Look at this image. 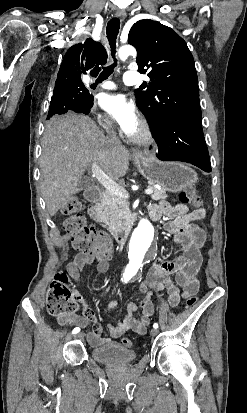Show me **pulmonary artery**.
I'll return each mask as SVG.
<instances>
[{"label":"pulmonary artery","instance_id":"e3ab8cb5","mask_svg":"<svg viewBox=\"0 0 247 413\" xmlns=\"http://www.w3.org/2000/svg\"><path fill=\"white\" fill-rule=\"evenodd\" d=\"M123 80L126 84L133 85V84H136V83L138 84L139 82H141L143 80V78L139 77L133 71V72H125L124 75H123ZM83 82H84L85 86L88 87V88H90L94 85L96 86L97 89H100V90H111V89L116 88V84L113 81L105 80V81L97 82L89 74H87L84 77Z\"/></svg>","mask_w":247,"mask_h":413}]
</instances>
